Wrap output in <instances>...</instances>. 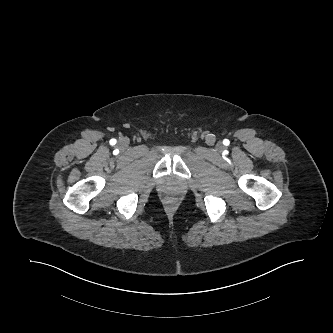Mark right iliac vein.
I'll use <instances>...</instances> for the list:
<instances>
[{"label": "right iliac vein", "instance_id": "obj_1", "mask_svg": "<svg viewBox=\"0 0 333 333\" xmlns=\"http://www.w3.org/2000/svg\"><path fill=\"white\" fill-rule=\"evenodd\" d=\"M119 143L122 148H125L128 146V141L126 139L121 140Z\"/></svg>", "mask_w": 333, "mask_h": 333}]
</instances>
